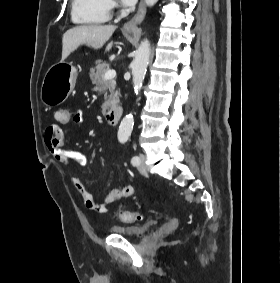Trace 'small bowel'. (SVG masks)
<instances>
[{
  "instance_id": "1",
  "label": "small bowel",
  "mask_w": 280,
  "mask_h": 283,
  "mask_svg": "<svg viewBox=\"0 0 280 283\" xmlns=\"http://www.w3.org/2000/svg\"><path fill=\"white\" fill-rule=\"evenodd\" d=\"M72 120L75 124L84 123V116L81 111L72 112ZM44 142L51 155L63 166H84L87 163L86 156L73 149H64V132L60 125L53 124L49 126L44 133ZM74 188L82 198L83 204L89 211L103 214L108 211V206L119 200L129 198L133 195L134 189L131 185H127L121 189H114L108 192L101 203L94 201L92 194L86 189L81 178L74 176L72 179Z\"/></svg>"
}]
</instances>
